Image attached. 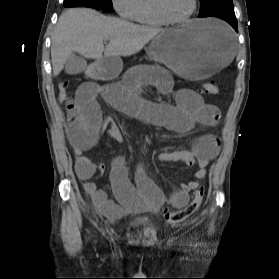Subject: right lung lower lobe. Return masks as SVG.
Instances as JSON below:
<instances>
[{
  "mask_svg": "<svg viewBox=\"0 0 279 279\" xmlns=\"http://www.w3.org/2000/svg\"><path fill=\"white\" fill-rule=\"evenodd\" d=\"M65 7H91L95 9H100L91 0H64Z\"/></svg>",
  "mask_w": 279,
  "mask_h": 279,
  "instance_id": "1",
  "label": "right lung lower lobe"
}]
</instances>
